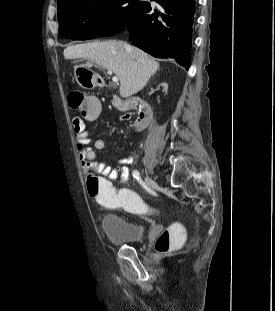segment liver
I'll list each match as a JSON object with an SVG mask.
<instances>
[{"instance_id":"liver-1","label":"liver","mask_w":275,"mask_h":311,"mask_svg":"<svg viewBox=\"0 0 275 311\" xmlns=\"http://www.w3.org/2000/svg\"><path fill=\"white\" fill-rule=\"evenodd\" d=\"M66 59L85 58L112 71L120 81V95L127 98L142 90L159 64L147 53L121 41L91 42L69 46L64 50ZM87 63L85 67H91Z\"/></svg>"}]
</instances>
